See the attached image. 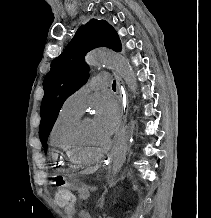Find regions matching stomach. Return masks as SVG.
I'll use <instances>...</instances> for the list:
<instances>
[{"label":"stomach","mask_w":211,"mask_h":218,"mask_svg":"<svg viewBox=\"0 0 211 218\" xmlns=\"http://www.w3.org/2000/svg\"><path fill=\"white\" fill-rule=\"evenodd\" d=\"M65 179V186L72 190H78L79 187L82 185L80 180L77 178L76 175L71 174L64 177Z\"/></svg>","instance_id":"stomach-1"}]
</instances>
